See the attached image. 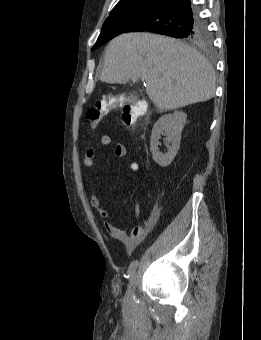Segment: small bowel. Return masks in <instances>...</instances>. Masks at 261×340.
<instances>
[{
	"label": "small bowel",
	"mask_w": 261,
	"mask_h": 340,
	"mask_svg": "<svg viewBox=\"0 0 261 340\" xmlns=\"http://www.w3.org/2000/svg\"><path fill=\"white\" fill-rule=\"evenodd\" d=\"M102 146H109L111 138L108 135H103L100 138ZM113 154L116 158H123L127 154V149L123 144H116L113 149ZM95 163V151L93 148L89 149L83 157V165L85 167H92ZM91 205L97 210L103 219V227L108 234L115 240L119 241L128 252H132L143 238L153 229L156 221L157 214L153 211L143 225L137 224L130 233L126 230L118 228L111 224L109 221V213L105 209L100 197L91 193L89 195Z\"/></svg>",
	"instance_id": "c3829d8e"
}]
</instances>
